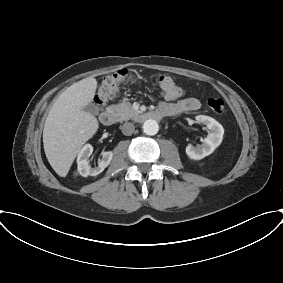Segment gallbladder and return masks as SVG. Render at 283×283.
<instances>
[{
	"instance_id": "bac80fb5",
	"label": "gallbladder",
	"mask_w": 283,
	"mask_h": 283,
	"mask_svg": "<svg viewBox=\"0 0 283 283\" xmlns=\"http://www.w3.org/2000/svg\"><path fill=\"white\" fill-rule=\"evenodd\" d=\"M84 110L92 115H97L98 114V109L94 104H89L84 108Z\"/></svg>"
}]
</instances>
